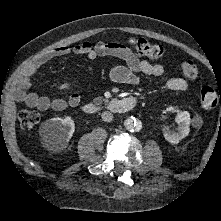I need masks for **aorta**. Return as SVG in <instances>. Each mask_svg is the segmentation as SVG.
Wrapping results in <instances>:
<instances>
[{"label":"aorta","instance_id":"obj_1","mask_svg":"<svg viewBox=\"0 0 221 221\" xmlns=\"http://www.w3.org/2000/svg\"><path fill=\"white\" fill-rule=\"evenodd\" d=\"M124 126L128 131H140L142 128V123L140 120L136 119L135 117H129L125 119Z\"/></svg>","mask_w":221,"mask_h":221}]
</instances>
